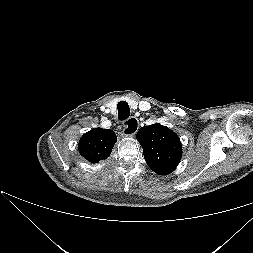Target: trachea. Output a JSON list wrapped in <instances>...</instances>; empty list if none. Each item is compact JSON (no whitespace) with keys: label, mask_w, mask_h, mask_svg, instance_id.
Segmentation results:
<instances>
[{"label":"trachea","mask_w":253,"mask_h":253,"mask_svg":"<svg viewBox=\"0 0 253 253\" xmlns=\"http://www.w3.org/2000/svg\"><path fill=\"white\" fill-rule=\"evenodd\" d=\"M117 109H118V119L119 120H125L129 117L130 109H129V105L127 102L120 101L117 105ZM127 123H128V126H131L132 120H129Z\"/></svg>","instance_id":"obj_1"}]
</instances>
